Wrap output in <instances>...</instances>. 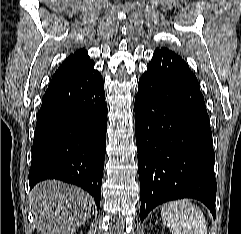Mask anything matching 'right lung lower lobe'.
<instances>
[{
    "label": "right lung lower lobe",
    "mask_w": 241,
    "mask_h": 234,
    "mask_svg": "<svg viewBox=\"0 0 241 234\" xmlns=\"http://www.w3.org/2000/svg\"><path fill=\"white\" fill-rule=\"evenodd\" d=\"M93 66L50 82L37 114L29 185L45 179L75 184L94 197L99 209L107 104Z\"/></svg>",
    "instance_id": "98d812e1"
}]
</instances>
